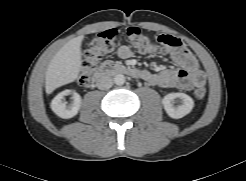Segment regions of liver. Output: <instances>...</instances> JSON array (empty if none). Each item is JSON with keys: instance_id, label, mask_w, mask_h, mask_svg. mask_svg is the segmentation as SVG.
I'll return each instance as SVG.
<instances>
[{"instance_id": "6515ba94", "label": "liver", "mask_w": 246, "mask_h": 181, "mask_svg": "<svg viewBox=\"0 0 246 181\" xmlns=\"http://www.w3.org/2000/svg\"><path fill=\"white\" fill-rule=\"evenodd\" d=\"M84 36L68 41L53 57L45 75V91L51 94L55 89L74 82L81 68V44Z\"/></svg>"}]
</instances>
